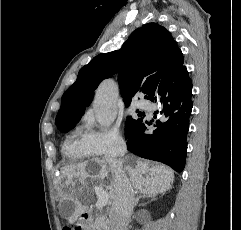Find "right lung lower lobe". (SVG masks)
Here are the masks:
<instances>
[{
  "instance_id": "obj_1",
  "label": "right lung lower lobe",
  "mask_w": 241,
  "mask_h": 230,
  "mask_svg": "<svg viewBox=\"0 0 241 230\" xmlns=\"http://www.w3.org/2000/svg\"><path fill=\"white\" fill-rule=\"evenodd\" d=\"M161 103L163 120L144 118L134 126L127 149L146 159L160 161L181 172L187 153L192 103V81L184 65L166 75L149 100ZM156 118V116H154Z\"/></svg>"
}]
</instances>
